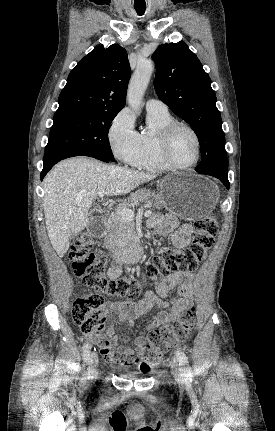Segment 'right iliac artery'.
I'll return each instance as SVG.
<instances>
[{"instance_id": "right-iliac-artery-1", "label": "right iliac artery", "mask_w": 275, "mask_h": 431, "mask_svg": "<svg viewBox=\"0 0 275 431\" xmlns=\"http://www.w3.org/2000/svg\"><path fill=\"white\" fill-rule=\"evenodd\" d=\"M90 349H91V345L89 343H84V345H83V360H84V362L89 361Z\"/></svg>"}]
</instances>
